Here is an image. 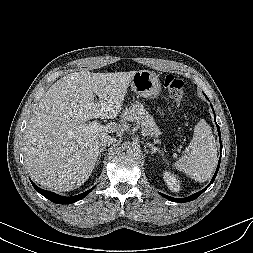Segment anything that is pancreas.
Masks as SVG:
<instances>
[{
  "label": "pancreas",
  "mask_w": 253,
  "mask_h": 253,
  "mask_svg": "<svg viewBox=\"0 0 253 253\" xmlns=\"http://www.w3.org/2000/svg\"><path fill=\"white\" fill-rule=\"evenodd\" d=\"M122 122L140 121L144 126L145 132L151 137H158L161 132L153 120V117L148 113L143 105L137 103L126 108L121 115Z\"/></svg>",
  "instance_id": "obj_1"
}]
</instances>
